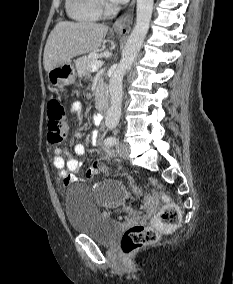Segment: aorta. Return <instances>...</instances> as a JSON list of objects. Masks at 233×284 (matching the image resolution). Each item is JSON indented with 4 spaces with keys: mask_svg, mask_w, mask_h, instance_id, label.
<instances>
[{
    "mask_svg": "<svg viewBox=\"0 0 233 284\" xmlns=\"http://www.w3.org/2000/svg\"><path fill=\"white\" fill-rule=\"evenodd\" d=\"M154 0H137L136 24L127 40L117 69L109 80L110 107L106 113L105 124L115 128L121 117L122 82L128 69L131 68L148 33L152 17Z\"/></svg>",
    "mask_w": 233,
    "mask_h": 284,
    "instance_id": "aorta-1",
    "label": "aorta"
}]
</instances>
